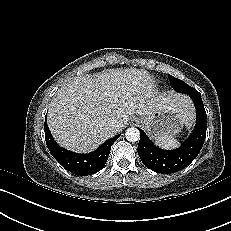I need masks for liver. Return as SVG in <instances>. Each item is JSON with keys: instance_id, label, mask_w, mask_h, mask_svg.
<instances>
[{"instance_id": "liver-1", "label": "liver", "mask_w": 231, "mask_h": 231, "mask_svg": "<svg viewBox=\"0 0 231 231\" xmlns=\"http://www.w3.org/2000/svg\"><path fill=\"white\" fill-rule=\"evenodd\" d=\"M168 106L181 112L183 123L193 120L191 100L176 93L160 95L147 71L110 69L62 86L50 103L47 122L58 144L87 153L116 134L108 128L111 121L123 127L129 115L146 116Z\"/></svg>"}]
</instances>
